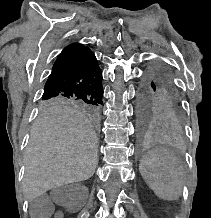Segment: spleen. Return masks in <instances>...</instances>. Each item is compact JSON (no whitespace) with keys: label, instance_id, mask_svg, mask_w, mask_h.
<instances>
[{"label":"spleen","instance_id":"obj_1","mask_svg":"<svg viewBox=\"0 0 211 218\" xmlns=\"http://www.w3.org/2000/svg\"><path fill=\"white\" fill-rule=\"evenodd\" d=\"M139 172L161 200H178L182 194V168L166 150H150L142 156Z\"/></svg>","mask_w":211,"mask_h":218}]
</instances>
